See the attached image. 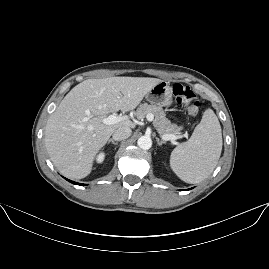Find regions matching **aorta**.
I'll return each mask as SVG.
<instances>
[{"mask_svg":"<svg viewBox=\"0 0 269 269\" xmlns=\"http://www.w3.org/2000/svg\"><path fill=\"white\" fill-rule=\"evenodd\" d=\"M137 143H138V146L143 150H148L152 146V140L150 137H147V136H141L138 139Z\"/></svg>","mask_w":269,"mask_h":269,"instance_id":"obj_1","label":"aorta"}]
</instances>
